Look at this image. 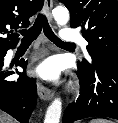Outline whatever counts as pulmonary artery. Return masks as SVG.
Instances as JSON below:
<instances>
[{
    "label": "pulmonary artery",
    "mask_w": 118,
    "mask_h": 123,
    "mask_svg": "<svg viewBox=\"0 0 118 123\" xmlns=\"http://www.w3.org/2000/svg\"><path fill=\"white\" fill-rule=\"evenodd\" d=\"M61 39L64 41H76V42H78L83 47L86 55L88 56V53L86 50L87 42L75 30H73L71 28L62 29Z\"/></svg>",
    "instance_id": "1"
}]
</instances>
